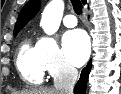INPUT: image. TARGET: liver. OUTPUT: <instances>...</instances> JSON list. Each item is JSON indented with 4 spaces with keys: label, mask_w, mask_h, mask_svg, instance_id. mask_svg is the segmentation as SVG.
I'll return each instance as SVG.
<instances>
[{
    "label": "liver",
    "mask_w": 121,
    "mask_h": 94,
    "mask_svg": "<svg viewBox=\"0 0 121 94\" xmlns=\"http://www.w3.org/2000/svg\"><path fill=\"white\" fill-rule=\"evenodd\" d=\"M18 94H59L58 91L54 88H34L31 90H24Z\"/></svg>",
    "instance_id": "6515ba94"
}]
</instances>
